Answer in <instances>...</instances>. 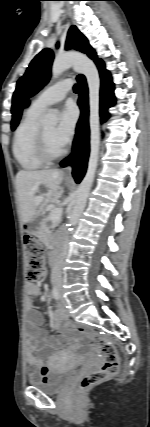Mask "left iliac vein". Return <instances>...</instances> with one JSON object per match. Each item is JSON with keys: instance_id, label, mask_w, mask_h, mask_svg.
<instances>
[{"instance_id": "left-iliac-vein-1", "label": "left iliac vein", "mask_w": 150, "mask_h": 427, "mask_svg": "<svg viewBox=\"0 0 150 427\" xmlns=\"http://www.w3.org/2000/svg\"><path fill=\"white\" fill-rule=\"evenodd\" d=\"M59 295H60V302L63 306H67V301L66 299L63 297L61 290H59Z\"/></svg>"}]
</instances>
